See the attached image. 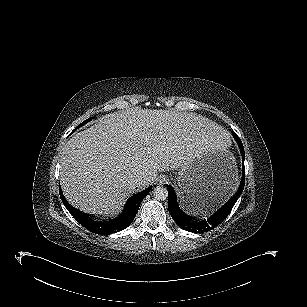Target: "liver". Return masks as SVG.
<instances>
[{"label": "liver", "mask_w": 307, "mask_h": 307, "mask_svg": "<svg viewBox=\"0 0 307 307\" xmlns=\"http://www.w3.org/2000/svg\"><path fill=\"white\" fill-rule=\"evenodd\" d=\"M223 137L218 125L192 113H110L67 141L60 160L61 188L76 208L114 215L130 194L154 182L158 172L180 168ZM134 178L146 183L134 189Z\"/></svg>", "instance_id": "1"}]
</instances>
